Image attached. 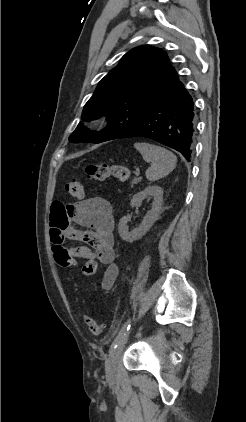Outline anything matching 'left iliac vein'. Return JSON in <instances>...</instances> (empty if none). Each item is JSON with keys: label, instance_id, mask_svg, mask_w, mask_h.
Wrapping results in <instances>:
<instances>
[{"label": "left iliac vein", "instance_id": "obj_1", "mask_svg": "<svg viewBox=\"0 0 246 422\" xmlns=\"http://www.w3.org/2000/svg\"><path fill=\"white\" fill-rule=\"evenodd\" d=\"M129 332H127V335L122 337L120 343L117 345V347L112 351L107 363H106V378L107 381L112 382L115 380L116 377V368H117V363L118 360L120 358V355L122 353L124 344L127 340Z\"/></svg>", "mask_w": 246, "mask_h": 422}]
</instances>
